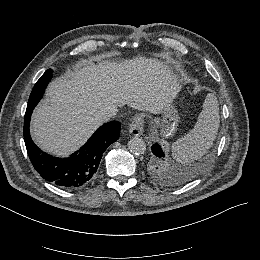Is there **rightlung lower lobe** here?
Wrapping results in <instances>:
<instances>
[{
  "label": "right lung lower lobe",
  "mask_w": 260,
  "mask_h": 260,
  "mask_svg": "<svg viewBox=\"0 0 260 260\" xmlns=\"http://www.w3.org/2000/svg\"><path fill=\"white\" fill-rule=\"evenodd\" d=\"M51 77L42 76L37 83L38 95H43ZM28 107L24 119V141L36 171L45 180L63 188L76 189L89 184L95 177L102 154L119 138L120 123L111 121L102 125L77 152L68 158H56L41 151L32 141L29 133L31 113Z\"/></svg>",
  "instance_id": "98d812e1"
}]
</instances>
